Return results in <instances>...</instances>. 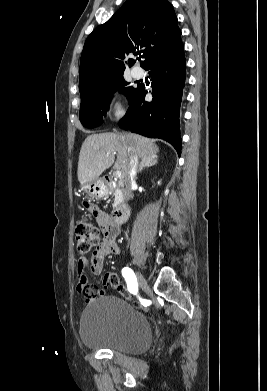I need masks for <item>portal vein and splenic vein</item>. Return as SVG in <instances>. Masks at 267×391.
Listing matches in <instances>:
<instances>
[{
	"label": "portal vein and splenic vein",
	"mask_w": 267,
	"mask_h": 391,
	"mask_svg": "<svg viewBox=\"0 0 267 391\" xmlns=\"http://www.w3.org/2000/svg\"><path fill=\"white\" fill-rule=\"evenodd\" d=\"M114 176L117 177V178H120L122 176V173L121 171L117 170L114 172Z\"/></svg>",
	"instance_id": "18ae733b"
}]
</instances>
